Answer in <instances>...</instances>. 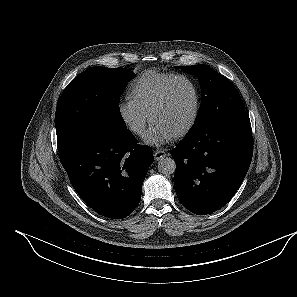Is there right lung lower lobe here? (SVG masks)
<instances>
[{
  "label": "right lung lower lobe",
  "instance_id": "right-lung-lower-lobe-1",
  "mask_svg": "<svg viewBox=\"0 0 297 297\" xmlns=\"http://www.w3.org/2000/svg\"><path fill=\"white\" fill-rule=\"evenodd\" d=\"M61 162L79 196L111 219L127 217L138 206L142 184L154 157L127 129H94L73 143Z\"/></svg>",
  "mask_w": 297,
  "mask_h": 297
}]
</instances>
